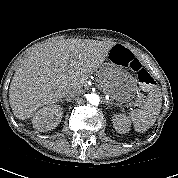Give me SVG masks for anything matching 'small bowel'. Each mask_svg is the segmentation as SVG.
<instances>
[{"instance_id": "small-bowel-1", "label": "small bowel", "mask_w": 178, "mask_h": 178, "mask_svg": "<svg viewBox=\"0 0 178 178\" xmlns=\"http://www.w3.org/2000/svg\"><path fill=\"white\" fill-rule=\"evenodd\" d=\"M119 54H120V56H119V60L120 61H126L127 59H129V57H130V55H131V53H130V51L129 50H127L126 48H124V47H120L119 49Z\"/></svg>"}]
</instances>
